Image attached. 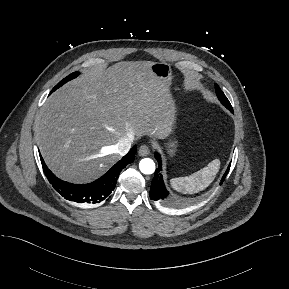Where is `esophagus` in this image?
<instances>
[{"instance_id": "obj_1", "label": "esophagus", "mask_w": 289, "mask_h": 289, "mask_svg": "<svg viewBox=\"0 0 289 289\" xmlns=\"http://www.w3.org/2000/svg\"><path fill=\"white\" fill-rule=\"evenodd\" d=\"M138 154L142 157H145L150 154V149L147 145H141L138 150Z\"/></svg>"}]
</instances>
